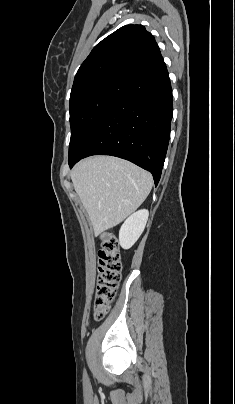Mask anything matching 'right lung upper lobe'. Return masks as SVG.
<instances>
[{
	"label": "right lung upper lobe",
	"instance_id": "1",
	"mask_svg": "<svg viewBox=\"0 0 235 404\" xmlns=\"http://www.w3.org/2000/svg\"><path fill=\"white\" fill-rule=\"evenodd\" d=\"M162 63L159 47L144 26H123L98 43L82 63L70 97L99 83H127Z\"/></svg>",
	"mask_w": 235,
	"mask_h": 404
}]
</instances>
